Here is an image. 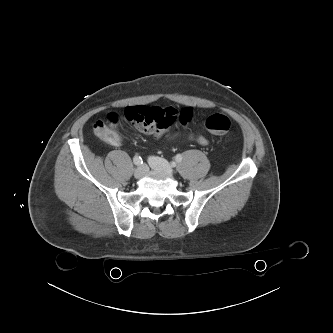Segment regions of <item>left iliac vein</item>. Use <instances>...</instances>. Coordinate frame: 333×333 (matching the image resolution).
<instances>
[{"instance_id":"1","label":"left iliac vein","mask_w":333,"mask_h":333,"mask_svg":"<svg viewBox=\"0 0 333 333\" xmlns=\"http://www.w3.org/2000/svg\"><path fill=\"white\" fill-rule=\"evenodd\" d=\"M149 165L152 169L162 171L170 176L173 175V169L170 164L159 157H150L149 158Z\"/></svg>"}]
</instances>
